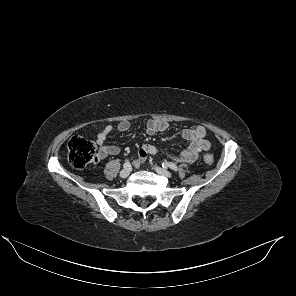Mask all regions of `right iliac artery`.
<instances>
[{
  "instance_id": "1",
  "label": "right iliac artery",
  "mask_w": 296,
  "mask_h": 296,
  "mask_svg": "<svg viewBox=\"0 0 296 296\" xmlns=\"http://www.w3.org/2000/svg\"><path fill=\"white\" fill-rule=\"evenodd\" d=\"M131 166L130 162L129 161H126L124 164H123V167L124 168H129Z\"/></svg>"
}]
</instances>
